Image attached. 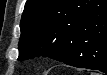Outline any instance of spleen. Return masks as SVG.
I'll return each instance as SVG.
<instances>
[{
  "mask_svg": "<svg viewBox=\"0 0 107 75\" xmlns=\"http://www.w3.org/2000/svg\"><path fill=\"white\" fill-rule=\"evenodd\" d=\"M92 75H97V74H95V73H92Z\"/></svg>",
  "mask_w": 107,
  "mask_h": 75,
  "instance_id": "1",
  "label": "spleen"
}]
</instances>
